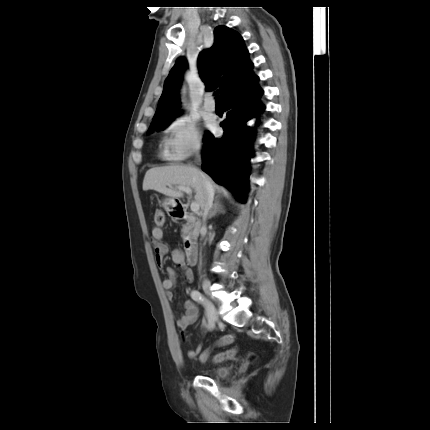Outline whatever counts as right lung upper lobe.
Listing matches in <instances>:
<instances>
[{
    "label": "right lung upper lobe",
    "instance_id": "right-lung-upper-lobe-1",
    "mask_svg": "<svg viewBox=\"0 0 430 430\" xmlns=\"http://www.w3.org/2000/svg\"><path fill=\"white\" fill-rule=\"evenodd\" d=\"M186 67L184 59H179L164 82L163 93L151 125L168 120L178 114V90L181 72ZM253 64L248 60L242 37L229 28L219 26L214 30V44L202 51L198 57V69L206 90L222 89L223 99L231 89L246 78L254 76Z\"/></svg>",
    "mask_w": 430,
    "mask_h": 430
}]
</instances>
